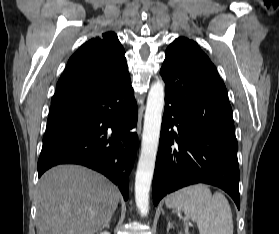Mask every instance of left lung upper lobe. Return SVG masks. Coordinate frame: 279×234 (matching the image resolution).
Returning a JSON list of instances; mask_svg holds the SVG:
<instances>
[{
    "instance_id": "1",
    "label": "left lung upper lobe",
    "mask_w": 279,
    "mask_h": 234,
    "mask_svg": "<svg viewBox=\"0 0 279 234\" xmlns=\"http://www.w3.org/2000/svg\"><path fill=\"white\" fill-rule=\"evenodd\" d=\"M167 50H177L189 58L212 64L208 56L200 49L196 42L184 37L175 39V41L168 46Z\"/></svg>"
}]
</instances>
